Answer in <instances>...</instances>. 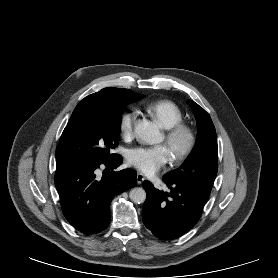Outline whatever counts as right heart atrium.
Instances as JSON below:
<instances>
[{"instance_id":"right-heart-atrium-1","label":"right heart atrium","mask_w":278,"mask_h":278,"mask_svg":"<svg viewBox=\"0 0 278 278\" xmlns=\"http://www.w3.org/2000/svg\"><path fill=\"white\" fill-rule=\"evenodd\" d=\"M137 114L135 111H125L119 119V131L121 136L129 139L133 136L134 126L136 123Z\"/></svg>"}]
</instances>
